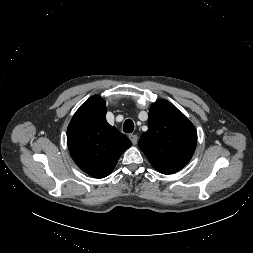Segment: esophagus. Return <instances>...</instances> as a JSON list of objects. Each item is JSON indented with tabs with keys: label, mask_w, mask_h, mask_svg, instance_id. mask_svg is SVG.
Instances as JSON below:
<instances>
[{
	"label": "esophagus",
	"mask_w": 253,
	"mask_h": 253,
	"mask_svg": "<svg viewBox=\"0 0 253 253\" xmlns=\"http://www.w3.org/2000/svg\"><path fill=\"white\" fill-rule=\"evenodd\" d=\"M129 139L131 140L133 145H136L138 142V136L136 134H130Z\"/></svg>",
	"instance_id": "esophagus-1"
}]
</instances>
